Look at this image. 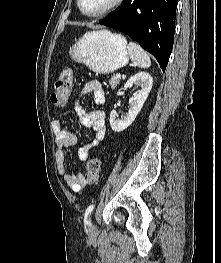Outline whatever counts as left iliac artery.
Instances as JSON below:
<instances>
[{
	"label": "left iliac artery",
	"instance_id": "1",
	"mask_svg": "<svg viewBox=\"0 0 221 263\" xmlns=\"http://www.w3.org/2000/svg\"><path fill=\"white\" fill-rule=\"evenodd\" d=\"M94 204H91V205H89L88 206V208L86 209V211H85V216H84V221H85V223H89V221H88V216L91 214V212L93 211V209H94Z\"/></svg>",
	"mask_w": 221,
	"mask_h": 263
}]
</instances>
